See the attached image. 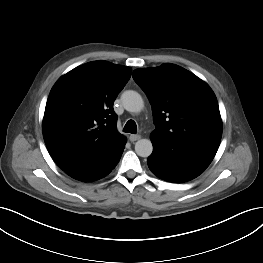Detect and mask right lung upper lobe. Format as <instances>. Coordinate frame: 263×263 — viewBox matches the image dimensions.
Here are the masks:
<instances>
[{
    "mask_svg": "<svg viewBox=\"0 0 263 263\" xmlns=\"http://www.w3.org/2000/svg\"><path fill=\"white\" fill-rule=\"evenodd\" d=\"M131 73L129 67L99 60L74 68L55 83L46 103L43 137L64 172L99 163L123 146L113 103Z\"/></svg>",
    "mask_w": 263,
    "mask_h": 263,
    "instance_id": "cb5924a9",
    "label": "right lung upper lobe"
}]
</instances>
